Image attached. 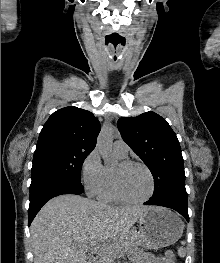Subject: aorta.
<instances>
[{"instance_id": "obj_1", "label": "aorta", "mask_w": 220, "mask_h": 263, "mask_svg": "<svg viewBox=\"0 0 220 263\" xmlns=\"http://www.w3.org/2000/svg\"><path fill=\"white\" fill-rule=\"evenodd\" d=\"M97 147L100 150L101 156L105 163L112 161L111 147H112V130L104 129L99 134L97 139Z\"/></svg>"}]
</instances>
